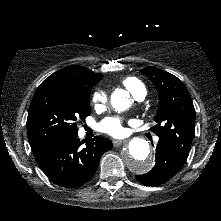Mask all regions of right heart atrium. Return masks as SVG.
Wrapping results in <instances>:
<instances>
[{
    "label": "right heart atrium",
    "mask_w": 221,
    "mask_h": 221,
    "mask_svg": "<svg viewBox=\"0 0 221 221\" xmlns=\"http://www.w3.org/2000/svg\"><path fill=\"white\" fill-rule=\"evenodd\" d=\"M108 96L105 91L98 89L92 95V103L96 109H100L106 105Z\"/></svg>",
    "instance_id": "right-heart-atrium-1"
}]
</instances>
